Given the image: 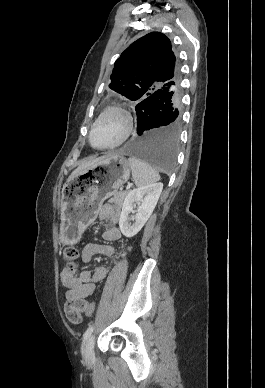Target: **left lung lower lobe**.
Masks as SVG:
<instances>
[{
  "instance_id": "1",
  "label": "left lung lower lobe",
  "mask_w": 265,
  "mask_h": 388,
  "mask_svg": "<svg viewBox=\"0 0 265 388\" xmlns=\"http://www.w3.org/2000/svg\"><path fill=\"white\" fill-rule=\"evenodd\" d=\"M155 93L136 105L137 135L126 152L169 171L175 164L181 123L180 81L169 82Z\"/></svg>"
}]
</instances>
